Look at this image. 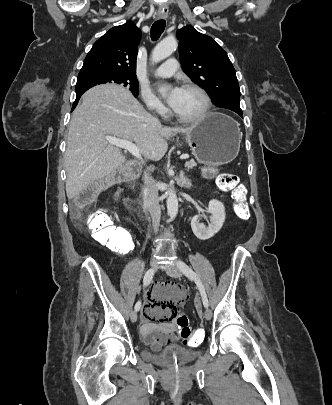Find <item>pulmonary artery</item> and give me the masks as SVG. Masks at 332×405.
<instances>
[{
    "label": "pulmonary artery",
    "instance_id": "1",
    "mask_svg": "<svg viewBox=\"0 0 332 405\" xmlns=\"http://www.w3.org/2000/svg\"><path fill=\"white\" fill-rule=\"evenodd\" d=\"M177 60L174 58L168 59L165 63L155 70L157 77H170L177 71Z\"/></svg>",
    "mask_w": 332,
    "mask_h": 405
}]
</instances>
